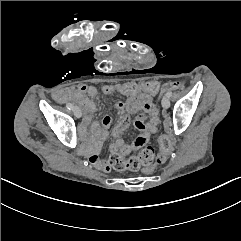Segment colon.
Masks as SVG:
<instances>
[{"label":"colon","mask_w":241,"mask_h":241,"mask_svg":"<svg viewBox=\"0 0 241 241\" xmlns=\"http://www.w3.org/2000/svg\"><path fill=\"white\" fill-rule=\"evenodd\" d=\"M186 82L184 80H179L177 82L168 81L163 83L162 89L157 95V99H163L164 92L166 90L171 91H179L181 87H184ZM155 87H159V84L156 81H140V80H133L131 84H122L120 86V91L128 95H134L136 91H142L147 93H154ZM161 146H160V157L156 156V152L154 147L151 145L145 146L137 155L130 159H125L119 155H113L109 159L110 167L116 170H124V169H131L137 170L140 167L144 166L142 170V175L144 177H149L151 172L156 168H164L166 166V161L164 159L167 158L169 155V150L171 149V145L168 143L167 137L161 138ZM153 157H157V160H153ZM155 163V164H154Z\"/></svg>","instance_id":"colon-1"}]
</instances>
